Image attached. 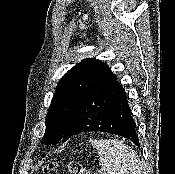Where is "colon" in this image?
<instances>
[{
	"mask_svg": "<svg viewBox=\"0 0 175 174\" xmlns=\"http://www.w3.org/2000/svg\"><path fill=\"white\" fill-rule=\"evenodd\" d=\"M61 168V164L59 162H50L45 168H44V173L45 174H51L53 172L59 171ZM68 171L71 174H92L89 169L84 167L80 162L78 161H70L67 164Z\"/></svg>",
	"mask_w": 175,
	"mask_h": 174,
	"instance_id": "5ec220e1",
	"label": "colon"
}]
</instances>
